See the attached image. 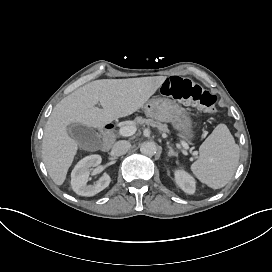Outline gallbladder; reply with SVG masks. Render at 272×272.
Returning <instances> with one entry per match:
<instances>
[{"mask_svg": "<svg viewBox=\"0 0 272 272\" xmlns=\"http://www.w3.org/2000/svg\"><path fill=\"white\" fill-rule=\"evenodd\" d=\"M71 136L78 142L83 149L98 147L102 144L101 136L94 129L82 124H73L69 126Z\"/></svg>", "mask_w": 272, "mask_h": 272, "instance_id": "bac80fb5", "label": "gallbladder"}]
</instances>
